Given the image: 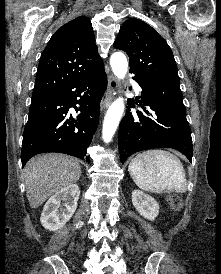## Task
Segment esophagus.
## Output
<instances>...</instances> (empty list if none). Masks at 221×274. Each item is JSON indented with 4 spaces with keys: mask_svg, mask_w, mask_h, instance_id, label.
<instances>
[{
    "mask_svg": "<svg viewBox=\"0 0 221 274\" xmlns=\"http://www.w3.org/2000/svg\"><path fill=\"white\" fill-rule=\"evenodd\" d=\"M118 90H119L118 80L113 76H109L108 86L101 100V111H103L105 108H107L110 105V103L113 100V97L115 96Z\"/></svg>",
    "mask_w": 221,
    "mask_h": 274,
    "instance_id": "1",
    "label": "esophagus"
}]
</instances>
